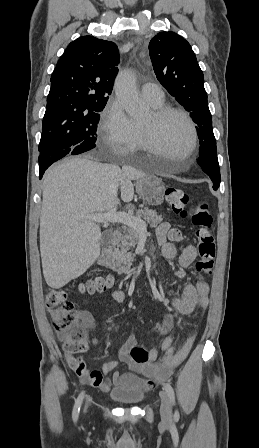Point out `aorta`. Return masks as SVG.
<instances>
[{"instance_id": "762f6f07", "label": "aorta", "mask_w": 259, "mask_h": 448, "mask_svg": "<svg viewBox=\"0 0 259 448\" xmlns=\"http://www.w3.org/2000/svg\"><path fill=\"white\" fill-rule=\"evenodd\" d=\"M115 95L125 111L132 119H138L145 110L136 86L134 74L129 70L118 73L115 84Z\"/></svg>"}]
</instances>
